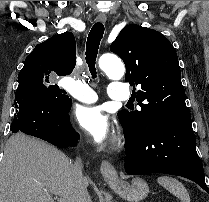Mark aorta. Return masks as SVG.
<instances>
[{
  "label": "aorta",
  "mask_w": 209,
  "mask_h": 202,
  "mask_svg": "<svg viewBox=\"0 0 209 202\" xmlns=\"http://www.w3.org/2000/svg\"><path fill=\"white\" fill-rule=\"evenodd\" d=\"M99 67L105 74L114 80L121 79L125 74V67L121 60L114 55H103L99 59Z\"/></svg>",
  "instance_id": "obj_1"
}]
</instances>
